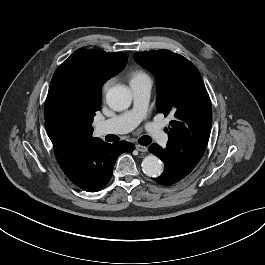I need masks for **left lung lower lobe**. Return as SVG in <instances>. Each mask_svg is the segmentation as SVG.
<instances>
[{
  "label": "left lung lower lobe",
  "mask_w": 265,
  "mask_h": 265,
  "mask_svg": "<svg viewBox=\"0 0 265 265\" xmlns=\"http://www.w3.org/2000/svg\"><path fill=\"white\" fill-rule=\"evenodd\" d=\"M149 150L164 162V172L159 177L153 178L155 182L161 185L170 186L190 173L182 169V167L170 156L169 152L159 145L152 144L149 147Z\"/></svg>",
  "instance_id": "0a47b994"
}]
</instances>
